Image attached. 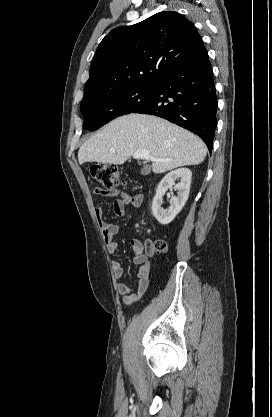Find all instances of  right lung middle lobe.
Instances as JSON below:
<instances>
[{
    "mask_svg": "<svg viewBox=\"0 0 272 417\" xmlns=\"http://www.w3.org/2000/svg\"><path fill=\"white\" fill-rule=\"evenodd\" d=\"M156 84L138 85L94 98L83 97L80 110L84 129L97 130L112 119L132 113L154 94Z\"/></svg>",
    "mask_w": 272,
    "mask_h": 417,
    "instance_id": "right-lung-middle-lobe-1",
    "label": "right lung middle lobe"
}]
</instances>
